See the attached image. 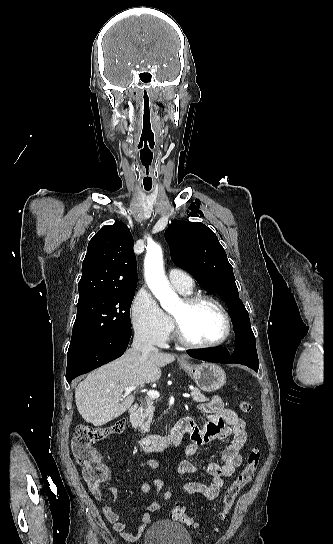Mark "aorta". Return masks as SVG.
Returning <instances> with one entry per match:
<instances>
[{
  "mask_svg": "<svg viewBox=\"0 0 333 544\" xmlns=\"http://www.w3.org/2000/svg\"><path fill=\"white\" fill-rule=\"evenodd\" d=\"M145 279L148 287L159 300L161 307L171 311L178 303V295L170 288L163 269V254L158 245L147 249L145 257Z\"/></svg>",
  "mask_w": 333,
  "mask_h": 544,
  "instance_id": "aorta-1",
  "label": "aorta"
}]
</instances>
